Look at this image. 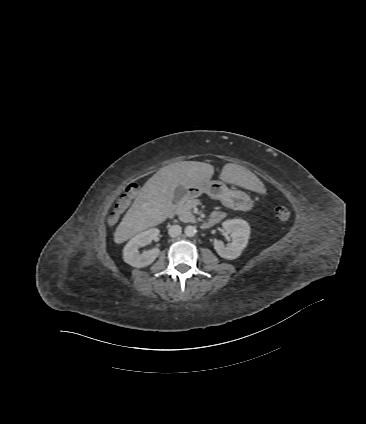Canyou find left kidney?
<instances>
[{
  "label": "left kidney",
  "mask_w": 366,
  "mask_h": 424,
  "mask_svg": "<svg viewBox=\"0 0 366 424\" xmlns=\"http://www.w3.org/2000/svg\"><path fill=\"white\" fill-rule=\"evenodd\" d=\"M225 231L230 233L232 242L225 246L221 240H215L213 243L215 251L222 258L233 260L239 257L247 246L250 236V226L243 219H230L222 223Z\"/></svg>",
  "instance_id": "5707ae66"
}]
</instances>
